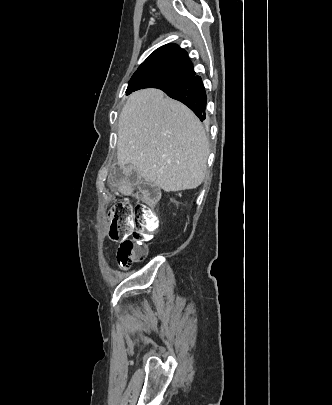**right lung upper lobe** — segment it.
Segmentation results:
<instances>
[{"mask_svg":"<svg viewBox=\"0 0 332 405\" xmlns=\"http://www.w3.org/2000/svg\"><path fill=\"white\" fill-rule=\"evenodd\" d=\"M148 71H158L180 76L184 80L196 74L193 69V64L188 58V53L173 43L166 44L156 49L138 67L135 73Z\"/></svg>","mask_w":332,"mask_h":405,"instance_id":"1","label":"right lung upper lobe"}]
</instances>
